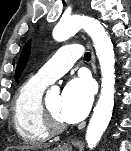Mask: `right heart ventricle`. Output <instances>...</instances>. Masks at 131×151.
Instances as JSON below:
<instances>
[{
  "mask_svg": "<svg viewBox=\"0 0 131 151\" xmlns=\"http://www.w3.org/2000/svg\"><path fill=\"white\" fill-rule=\"evenodd\" d=\"M47 85L34 76L19 88L15 96L13 124L17 134L26 142L39 143L50 136L42 110L43 93Z\"/></svg>",
  "mask_w": 131,
  "mask_h": 151,
  "instance_id": "1",
  "label": "right heart ventricle"
}]
</instances>
